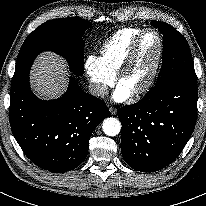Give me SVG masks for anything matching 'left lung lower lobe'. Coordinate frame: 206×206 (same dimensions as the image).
Returning <instances> with one entry per match:
<instances>
[{"label":"left lung lower lobe","instance_id":"left-lung-lower-lobe-1","mask_svg":"<svg viewBox=\"0 0 206 206\" xmlns=\"http://www.w3.org/2000/svg\"><path fill=\"white\" fill-rule=\"evenodd\" d=\"M197 91V83H175L118 110L121 152L129 166L154 172L178 157L195 128Z\"/></svg>","mask_w":206,"mask_h":206}]
</instances>
